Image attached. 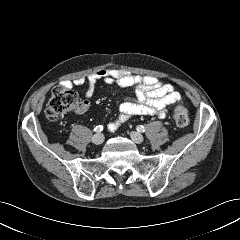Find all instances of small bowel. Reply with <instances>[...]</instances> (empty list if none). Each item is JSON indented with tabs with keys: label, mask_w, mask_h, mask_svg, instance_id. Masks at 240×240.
Returning <instances> with one entry per match:
<instances>
[{
	"label": "small bowel",
	"mask_w": 240,
	"mask_h": 240,
	"mask_svg": "<svg viewBox=\"0 0 240 240\" xmlns=\"http://www.w3.org/2000/svg\"><path fill=\"white\" fill-rule=\"evenodd\" d=\"M98 81L117 85L132 93L120 104L117 118L109 124L111 131L116 130L121 123L139 115H157L164 118L168 110L181 99L180 93L171 84L161 83L155 77L139 76L120 69H100L86 79L64 81L67 87L86 85L85 98L79 112H84L89 107V100L94 94Z\"/></svg>",
	"instance_id": "1"
}]
</instances>
